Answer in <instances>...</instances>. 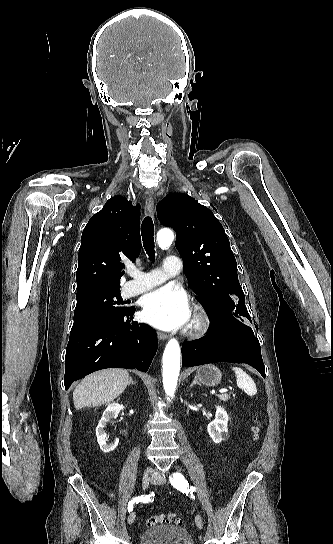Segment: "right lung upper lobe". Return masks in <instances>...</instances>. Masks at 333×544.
I'll list each match as a JSON object with an SVG mask.
<instances>
[{"label": "right lung upper lobe", "instance_id": "right-lung-upper-lobe-1", "mask_svg": "<svg viewBox=\"0 0 333 544\" xmlns=\"http://www.w3.org/2000/svg\"><path fill=\"white\" fill-rule=\"evenodd\" d=\"M140 205L122 196L109 199L83 230L76 273L81 299L100 292L120 290L124 262L140 252Z\"/></svg>", "mask_w": 333, "mask_h": 544}]
</instances>
